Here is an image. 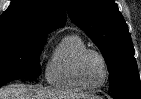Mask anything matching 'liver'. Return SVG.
Segmentation results:
<instances>
[{
  "label": "liver",
  "instance_id": "1",
  "mask_svg": "<svg viewBox=\"0 0 141 99\" xmlns=\"http://www.w3.org/2000/svg\"><path fill=\"white\" fill-rule=\"evenodd\" d=\"M90 95L68 94L59 90L25 86L11 85L0 90V99H84Z\"/></svg>",
  "mask_w": 141,
  "mask_h": 99
}]
</instances>
